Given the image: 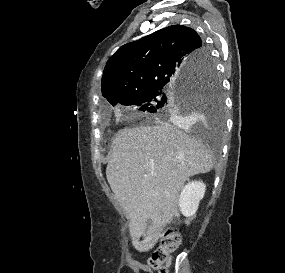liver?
Wrapping results in <instances>:
<instances>
[{"label":"liver","mask_w":285,"mask_h":273,"mask_svg":"<svg viewBox=\"0 0 285 273\" xmlns=\"http://www.w3.org/2000/svg\"><path fill=\"white\" fill-rule=\"evenodd\" d=\"M173 121L184 128L182 119ZM213 166L199 140L169 123L124 129L116 135L106 177L130 220L132 244L138 251L151 250L166 224L178 216L179 192L189 177L208 173Z\"/></svg>","instance_id":"1"}]
</instances>
